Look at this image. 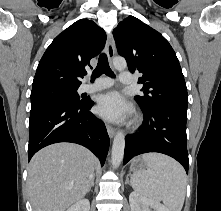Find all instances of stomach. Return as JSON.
I'll use <instances>...</instances> for the list:
<instances>
[{
  "label": "stomach",
  "mask_w": 221,
  "mask_h": 211,
  "mask_svg": "<svg viewBox=\"0 0 221 211\" xmlns=\"http://www.w3.org/2000/svg\"><path fill=\"white\" fill-rule=\"evenodd\" d=\"M146 167L147 165L143 161V159L141 157H138L131 162L130 170L131 172L135 173L139 171H144Z\"/></svg>",
  "instance_id": "stomach-1"
}]
</instances>
